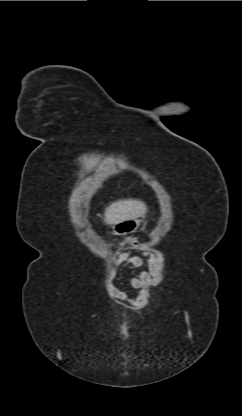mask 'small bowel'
<instances>
[{
	"instance_id": "c3829d8e",
	"label": "small bowel",
	"mask_w": 242,
	"mask_h": 416,
	"mask_svg": "<svg viewBox=\"0 0 242 416\" xmlns=\"http://www.w3.org/2000/svg\"><path fill=\"white\" fill-rule=\"evenodd\" d=\"M151 255L152 253L150 251H143L141 256L132 255L129 252L122 253L115 261L113 268L108 273V276L112 278L115 275V269L123 264H129L136 268H142L144 265L143 258H150ZM151 280L152 274L147 270H142L138 276L131 278L130 285L135 289H144L150 284ZM117 298L132 307L143 305L146 299L143 293L136 297H130L121 291L117 293Z\"/></svg>"
}]
</instances>
